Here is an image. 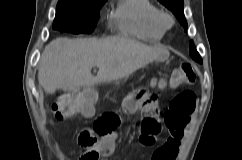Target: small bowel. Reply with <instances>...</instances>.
Here are the masks:
<instances>
[{
    "instance_id": "1",
    "label": "small bowel",
    "mask_w": 242,
    "mask_h": 160,
    "mask_svg": "<svg viewBox=\"0 0 242 160\" xmlns=\"http://www.w3.org/2000/svg\"><path fill=\"white\" fill-rule=\"evenodd\" d=\"M125 107L126 110L130 113L136 112L139 109V106L137 104H131L129 103V97L125 99ZM95 113V108H93L89 112H83L82 115L85 117L93 116ZM184 126L185 124L180 125L178 128H168L171 136L165 141V143L157 148L155 152L152 155L151 160H175L179 148H180V141L184 134ZM116 140L117 135L113 131L106 134L105 136L99 137L97 142L91 146L88 147L87 151L81 155L79 160H87L85 158L91 151H95L101 156H109L111 155L116 146ZM144 144H150V143H144Z\"/></svg>"
}]
</instances>
